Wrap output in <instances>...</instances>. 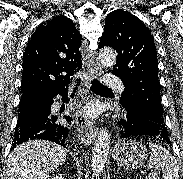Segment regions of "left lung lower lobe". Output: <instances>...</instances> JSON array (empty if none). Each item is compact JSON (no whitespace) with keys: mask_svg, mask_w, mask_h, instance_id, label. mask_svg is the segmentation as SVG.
Instances as JSON below:
<instances>
[{"mask_svg":"<svg viewBox=\"0 0 183 179\" xmlns=\"http://www.w3.org/2000/svg\"><path fill=\"white\" fill-rule=\"evenodd\" d=\"M121 111L122 114L117 120L120 138L144 135L162 139L171 145L164 123H158L133 104L126 105Z\"/></svg>","mask_w":183,"mask_h":179,"instance_id":"obj_1","label":"left lung lower lobe"}]
</instances>
